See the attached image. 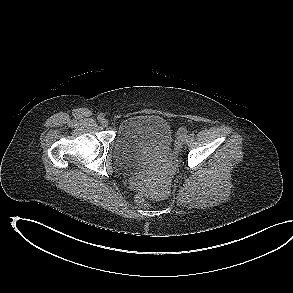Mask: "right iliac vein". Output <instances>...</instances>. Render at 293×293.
I'll return each mask as SVG.
<instances>
[{
  "mask_svg": "<svg viewBox=\"0 0 293 293\" xmlns=\"http://www.w3.org/2000/svg\"><path fill=\"white\" fill-rule=\"evenodd\" d=\"M101 124H102V126L107 127L108 124H109V122H108L107 119H104V118H103V119L101 120Z\"/></svg>",
  "mask_w": 293,
  "mask_h": 293,
  "instance_id": "obj_1",
  "label": "right iliac vein"
}]
</instances>
